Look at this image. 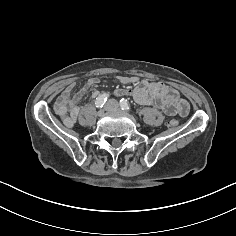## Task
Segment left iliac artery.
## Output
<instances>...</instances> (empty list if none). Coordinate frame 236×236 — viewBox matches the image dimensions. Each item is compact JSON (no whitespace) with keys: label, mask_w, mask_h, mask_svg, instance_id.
Here are the masks:
<instances>
[{"label":"left iliac artery","mask_w":236,"mask_h":236,"mask_svg":"<svg viewBox=\"0 0 236 236\" xmlns=\"http://www.w3.org/2000/svg\"><path fill=\"white\" fill-rule=\"evenodd\" d=\"M120 106H121V108H122L123 110H127V111H130V110H131V107H130L128 101H127L126 99H124V98H122V99L120 100Z\"/></svg>","instance_id":"obj_1"}]
</instances>
